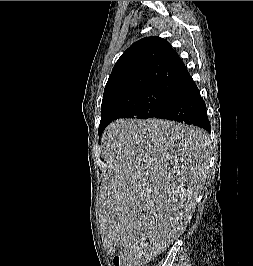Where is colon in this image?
Here are the masks:
<instances>
[{"instance_id":"1","label":"colon","mask_w":253,"mask_h":266,"mask_svg":"<svg viewBox=\"0 0 253 266\" xmlns=\"http://www.w3.org/2000/svg\"><path fill=\"white\" fill-rule=\"evenodd\" d=\"M113 263L115 266H131L132 259L126 253H119L114 256Z\"/></svg>"}]
</instances>
